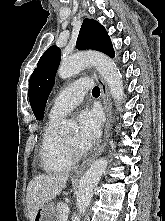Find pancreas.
Segmentation results:
<instances>
[{"label": "pancreas", "instance_id": "cf45deb5", "mask_svg": "<svg viewBox=\"0 0 165 221\" xmlns=\"http://www.w3.org/2000/svg\"><path fill=\"white\" fill-rule=\"evenodd\" d=\"M62 205H63L62 203H58L55 208L57 221H62V211H63Z\"/></svg>", "mask_w": 165, "mask_h": 221}]
</instances>
